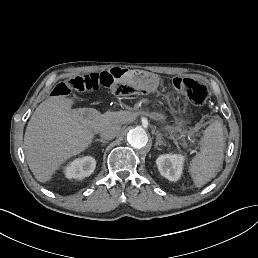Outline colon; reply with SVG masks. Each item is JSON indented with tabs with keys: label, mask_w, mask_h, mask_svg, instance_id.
Returning <instances> with one entry per match:
<instances>
[{
	"label": "colon",
	"mask_w": 258,
	"mask_h": 258,
	"mask_svg": "<svg viewBox=\"0 0 258 258\" xmlns=\"http://www.w3.org/2000/svg\"><path fill=\"white\" fill-rule=\"evenodd\" d=\"M173 86L177 91L183 93L190 102L196 105L204 104L209 97V90L206 85L192 78H175L173 80ZM101 88L108 89L118 96L145 93L139 84L132 81L110 82L105 78L104 72L75 76L60 82L55 86L53 93L55 96H65L72 90L84 92L97 91ZM217 120V117L208 115L201 119V124L206 125Z\"/></svg>",
	"instance_id": "colon-1"
}]
</instances>
